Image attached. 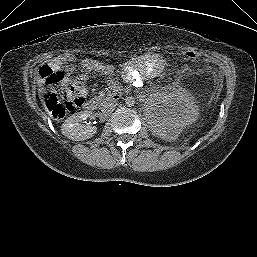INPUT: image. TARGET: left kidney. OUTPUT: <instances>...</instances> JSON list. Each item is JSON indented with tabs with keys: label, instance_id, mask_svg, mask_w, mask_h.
I'll return each mask as SVG.
<instances>
[{
	"label": "left kidney",
	"instance_id": "1",
	"mask_svg": "<svg viewBox=\"0 0 257 257\" xmlns=\"http://www.w3.org/2000/svg\"><path fill=\"white\" fill-rule=\"evenodd\" d=\"M147 115L154 135L175 140L182 130L198 119L193 96L184 89L161 93L150 101Z\"/></svg>",
	"mask_w": 257,
	"mask_h": 257
}]
</instances>
